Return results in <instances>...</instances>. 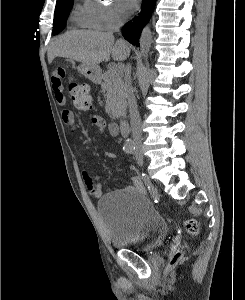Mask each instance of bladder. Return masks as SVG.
Returning <instances> with one entry per match:
<instances>
[{
  "instance_id": "31cf9c89",
  "label": "bladder",
  "mask_w": 245,
  "mask_h": 300,
  "mask_svg": "<svg viewBox=\"0 0 245 300\" xmlns=\"http://www.w3.org/2000/svg\"><path fill=\"white\" fill-rule=\"evenodd\" d=\"M97 210L113 248L149 252L168 237L167 222L141 192L128 189L109 192L100 199Z\"/></svg>"
}]
</instances>
